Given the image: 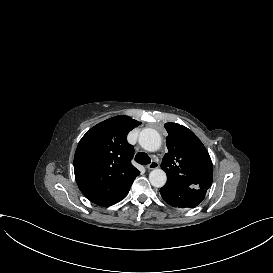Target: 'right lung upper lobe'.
Instances as JSON below:
<instances>
[{"instance_id":"obj_1","label":"right lung upper lobe","mask_w":273,"mask_h":273,"mask_svg":"<svg viewBox=\"0 0 273 273\" xmlns=\"http://www.w3.org/2000/svg\"><path fill=\"white\" fill-rule=\"evenodd\" d=\"M140 122L116 116L92 127L80 140L74 173L81 192L100 206L122 200L140 172L131 164L134 151L126 137Z\"/></svg>"}]
</instances>
